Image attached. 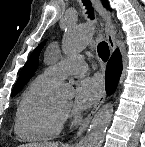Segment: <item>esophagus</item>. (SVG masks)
I'll return each instance as SVG.
<instances>
[{"label":"esophagus","mask_w":145,"mask_h":147,"mask_svg":"<svg viewBox=\"0 0 145 147\" xmlns=\"http://www.w3.org/2000/svg\"><path fill=\"white\" fill-rule=\"evenodd\" d=\"M94 6L99 14V16L102 18L104 23V30L106 39L108 42V45L110 47L111 52H114L116 49V38H115V31L114 26L112 22L111 14L103 7L101 1L99 0H93ZM106 98V93L103 92V94L100 96V98L95 103L94 107L90 111V113L87 115V117L84 119L83 123L77 130L75 137H80L84 134V132L87 130L92 118L94 117L95 113L98 111L100 106L103 104Z\"/></svg>","instance_id":"esophagus-1"}]
</instances>
